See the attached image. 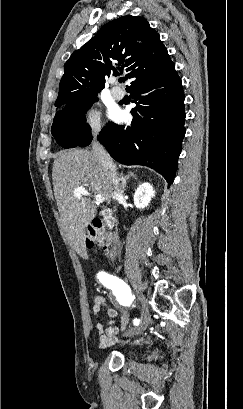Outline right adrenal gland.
Segmentation results:
<instances>
[{
    "label": "right adrenal gland",
    "instance_id": "1",
    "mask_svg": "<svg viewBox=\"0 0 243 409\" xmlns=\"http://www.w3.org/2000/svg\"><path fill=\"white\" fill-rule=\"evenodd\" d=\"M130 177H133L136 179V175L134 173H129L128 175L124 176L123 173L121 174V190L122 192H125L126 187H127V182L130 179Z\"/></svg>",
    "mask_w": 243,
    "mask_h": 409
}]
</instances>
